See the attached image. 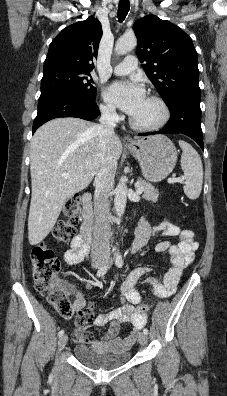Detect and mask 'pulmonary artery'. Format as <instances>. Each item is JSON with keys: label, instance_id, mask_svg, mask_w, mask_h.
Masks as SVG:
<instances>
[{"label": "pulmonary artery", "instance_id": "pulmonary-artery-1", "mask_svg": "<svg viewBox=\"0 0 227 396\" xmlns=\"http://www.w3.org/2000/svg\"><path fill=\"white\" fill-rule=\"evenodd\" d=\"M138 66V61L135 56H127L121 63L116 65L112 72L116 75H126L134 71Z\"/></svg>", "mask_w": 227, "mask_h": 396}]
</instances>
